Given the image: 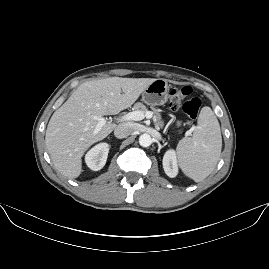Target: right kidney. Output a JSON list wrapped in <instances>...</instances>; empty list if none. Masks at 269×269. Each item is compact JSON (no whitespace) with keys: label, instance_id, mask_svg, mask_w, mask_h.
Wrapping results in <instances>:
<instances>
[{"label":"right kidney","instance_id":"right-kidney-1","mask_svg":"<svg viewBox=\"0 0 269 269\" xmlns=\"http://www.w3.org/2000/svg\"><path fill=\"white\" fill-rule=\"evenodd\" d=\"M109 149L110 145L107 143H99L90 149L85 155L87 166L93 171L102 169L106 164Z\"/></svg>","mask_w":269,"mask_h":269}]
</instances>
